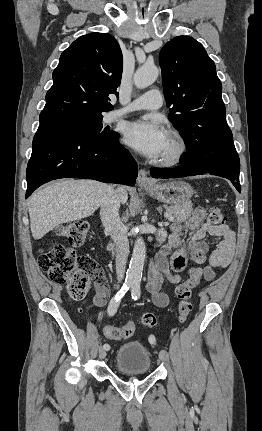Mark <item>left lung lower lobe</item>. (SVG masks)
Wrapping results in <instances>:
<instances>
[{
    "label": "left lung lower lobe",
    "mask_w": 262,
    "mask_h": 431,
    "mask_svg": "<svg viewBox=\"0 0 262 431\" xmlns=\"http://www.w3.org/2000/svg\"><path fill=\"white\" fill-rule=\"evenodd\" d=\"M239 171V159L224 158L221 160V164L215 167L214 170L183 163L176 169H151V175L154 178H177L202 174L218 175L231 180L238 192H241V186L239 183Z\"/></svg>",
    "instance_id": "1"
}]
</instances>
